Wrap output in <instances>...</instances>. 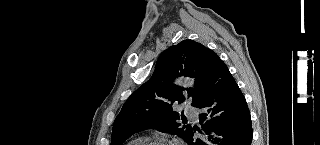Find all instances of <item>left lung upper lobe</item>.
Segmentation results:
<instances>
[{"instance_id":"obj_1","label":"left lung upper lobe","mask_w":320,"mask_h":145,"mask_svg":"<svg viewBox=\"0 0 320 145\" xmlns=\"http://www.w3.org/2000/svg\"><path fill=\"white\" fill-rule=\"evenodd\" d=\"M219 59L214 51L194 40H183L163 51L151 79L127 99L116 117L111 145H121L145 129H158L186 141L193 128L176 122L180 117L172 106L190 99L192 106L197 107L204 76ZM179 76L194 78L195 87L174 85L172 81Z\"/></svg>"}]
</instances>
